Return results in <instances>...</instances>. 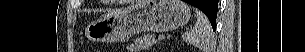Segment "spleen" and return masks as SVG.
Listing matches in <instances>:
<instances>
[{
	"label": "spleen",
	"instance_id": "1",
	"mask_svg": "<svg viewBox=\"0 0 305 52\" xmlns=\"http://www.w3.org/2000/svg\"><path fill=\"white\" fill-rule=\"evenodd\" d=\"M197 21L192 31H187L182 35V39L203 50L210 52L213 46V31L206 15L199 9H195Z\"/></svg>",
	"mask_w": 305,
	"mask_h": 52
}]
</instances>
